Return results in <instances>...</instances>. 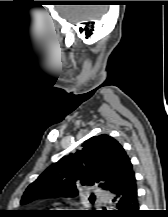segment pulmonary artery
I'll list each match as a JSON object with an SVG mask.
<instances>
[{
	"instance_id": "pulmonary-artery-1",
	"label": "pulmonary artery",
	"mask_w": 168,
	"mask_h": 217,
	"mask_svg": "<svg viewBox=\"0 0 168 217\" xmlns=\"http://www.w3.org/2000/svg\"><path fill=\"white\" fill-rule=\"evenodd\" d=\"M94 194L96 195V197H98L99 199H101L103 202H105V203L108 202V196L103 191L95 190Z\"/></svg>"
}]
</instances>
